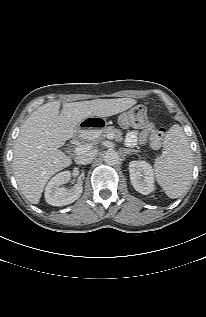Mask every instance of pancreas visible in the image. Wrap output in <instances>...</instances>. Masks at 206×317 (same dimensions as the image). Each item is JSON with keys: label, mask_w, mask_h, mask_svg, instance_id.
Returning a JSON list of instances; mask_svg holds the SVG:
<instances>
[{"label": "pancreas", "mask_w": 206, "mask_h": 317, "mask_svg": "<svg viewBox=\"0 0 206 317\" xmlns=\"http://www.w3.org/2000/svg\"><path fill=\"white\" fill-rule=\"evenodd\" d=\"M99 132V137L94 141H98L99 139H101V137H107V135L109 134H112L117 142H121L123 140L122 132L119 129L114 128L113 126H109Z\"/></svg>", "instance_id": "1"}]
</instances>
